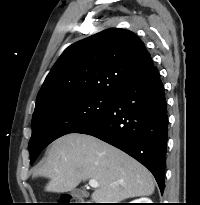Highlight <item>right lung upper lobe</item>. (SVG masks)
Returning <instances> with one entry per match:
<instances>
[{"mask_svg": "<svg viewBox=\"0 0 200 205\" xmlns=\"http://www.w3.org/2000/svg\"><path fill=\"white\" fill-rule=\"evenodd\" d=\"M152 67L149 52L133 32L101 31L63 52L38 93L33 115L73 97H114Z\"/></svg>", "mask_w": 200, "mask_h": 205, "instance_id": "obj_1", "label": "right lung upper lobe"}]
</instances>
